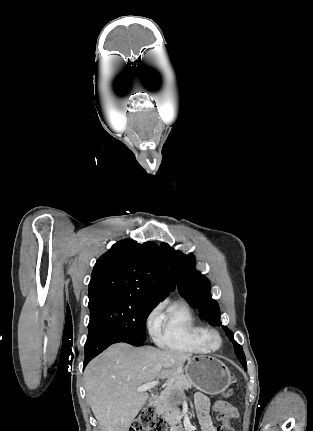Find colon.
Returning <instances> with one entry per match:
<instances>
[{
  "instance_id": "colon-1",
  "label": "colon",
  "mask_w": 313,
  "mask_h": 431,
  "mask_svg": "<svg viewBox=\"0 0 313 431\" xmlns=\"http://www.w3.org/2000/svg\"><path fill=\"white\" fill-rule=\"evenodd\" d=\"M228 398L234 395V389L229 388L224 392ZM223 423L217 428V431H233L232 427L226 421L225 415L221 417ZM130 431H167L166 423L160 418L153 407H146L133 421Z\"/></svg>"
}]
</instances>
